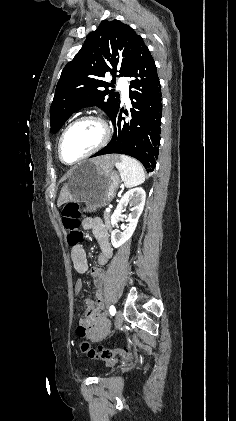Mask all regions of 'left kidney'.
<instances>
[{
  "label": "left kidney",
  "mask_w": 236,
  "mask_h": 421,
  "mask_svg": "<svg viewBox=\"0 0 236 421\" xmlns=\"http://www.w3.org/2000/svg\"><path fill=\"white\" fill-rule=\"evenodd\" d=\"M146 192L144 188L138 186V188H131V190H127L125 194H123L121 200H119L117 204L116 211H114L111 217V225L112 227H116L118 221H121V213H124L123 208L130 204L131 208H129V215L127 221H129L128 227H125V231L121 233L118 229H114L111 233V243L115 249L117 247H121L124 245L126 241L131 239L139 221V217L143 211L144 204H145Z\"/></svg>",
  "instance_id": "left-kidney-1"
}]
</instances>
